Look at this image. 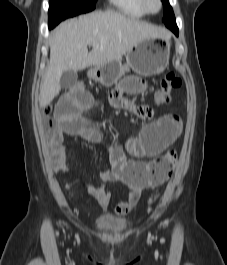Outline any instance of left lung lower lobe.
Listing matches in <instances>:
<instances>
[{
  "label": "left lung lower lobe",
  "mask_w": 227,
  "mask_h": 265,
  "mask_svg": "<svg viewBox=\"0 0 227 265\" xmlns=\"http://www.w3.org/2000/svg\"><path fill=\"white\" fill-rule=\"evenodd\" d=\"M169 29L172 30L178 36V28L177 27H172Z\"/></svg>",
  "instance_id": "left-lung-lower-lobe-1"
}]
</instances>
